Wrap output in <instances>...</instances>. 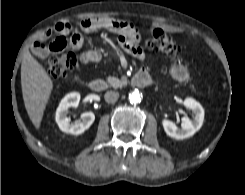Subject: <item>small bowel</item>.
Masks as SVG:
<instances>
[{"mask_svg":"<svg viewBox=\"0 0 245 195\" xmlns=\"http://www.w3.org/2000/svg\"><path fill=\"white\" fill-rule=\"evenodd\" d=\"M169 32H180L181 30L175 27L162 26ZM80 28L83 32H95L98 30H107L118 35L119 45L123 50L141 61L148 59L140 47V33L137 28L130 22L113 18V17H96L84 19L80 23ZM71 26L67 22H59L54 29H47L32 45V53L38 57H44L51 53H59L66 48L79 50L85 45V39L82 34L74 33L70 39L66 35L70 32ZM56 32L58 36L50 42L49 45L44 43L51 35ZM191 37L195 38L194 34ZM102 60V54L96 49L84 51L80 55L82 64L98 63ZM145 71V70H142Z\"/></svg>","mask_w":245,"mask_h":195,"instance_id":"1","label":"small bowel"}]
</instances>
